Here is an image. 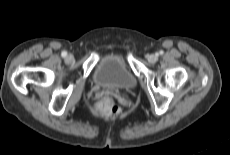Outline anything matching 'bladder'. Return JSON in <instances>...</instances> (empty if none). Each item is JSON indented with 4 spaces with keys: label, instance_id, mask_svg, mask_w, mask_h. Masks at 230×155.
I'll list each match as a JSON object with an SVG mask.
<instances>
[{
    "label": "bladder",
    "instance_id": "bladder-1",
    "mask_svg": "<svg viewBox=\"0 0 230 155\" xmlns=\"http://www.w3.org/2000/svg\"><path fill=\"white\" fill-rule=\"evenodd\" d=\"M93 79L102 87L129 90L136 86L137 79L124 60L115 54L102 57L94 70Z\"/></svg>",
    "mask_w": 230,
    "mask_h": 155
}]
</instances>
